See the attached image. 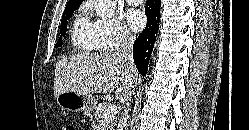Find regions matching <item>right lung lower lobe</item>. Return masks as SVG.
Instances as JSON below:
<instances>
[{
  "instance_id": "right-lung-lower-lobe-1",
  "label": "right lung lower lobe",
  "mask_w": 249,
  "mask_h": 130,
  "mask_svg": "<svg viewBox=\"0 0 249 130\" xmlns=\"http://www.w3.org/2000/svg\"><path fill=\"white\" fill-rule=\"evenodd\" d=\"M145 12L147 15L146 28L139 34L133 45L134 63L143 76L147 73V64L158 32L160 22V1L147 0Z\"/></svg>"
}]
</instances>
